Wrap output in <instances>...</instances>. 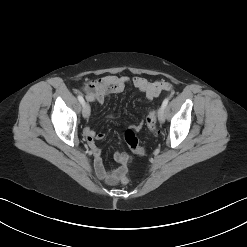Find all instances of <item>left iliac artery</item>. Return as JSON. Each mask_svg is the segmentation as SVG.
Masks as SVG:
<instances>
[{
	"instance_id": "left-iliac-artery-1",
	"label": "left iliac artery",
	"mask_w": 247,
	"mask_h": 247,
	"mask_svg": "<svg viewBox=\"0 0 247 247\" xmlns=\"http://www.w3.org/2000/svg\"><path fill=\"white\" fill-rule=\"evenodd\" d=\"M168 102H169V98H165L163 103H162V107L165 108L167 106Z\"/></svg>"
}]
</instances>
